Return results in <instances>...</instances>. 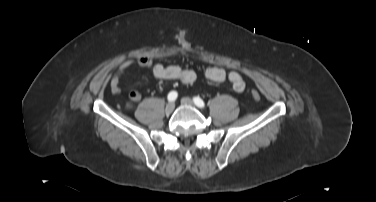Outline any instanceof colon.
Listing matches in <instances>:
<instances>
[{
	"label": "colon",
	"instance_id": "obj_1",
	"mask_svg": "<svg viewBox=\"0 0 376 202\" xmlns=\"http://www.w3.org/2000/svg\"><path fill=\"white\" fill-rule=\"evenodd\" d=\"M252 96H253V98L256 99V100L260 98V95H259V93H258L257 91H253V92H252Z\"/></svg>",
	"mask_w": 376,
	"mask_h": 202
}]
</instances>
